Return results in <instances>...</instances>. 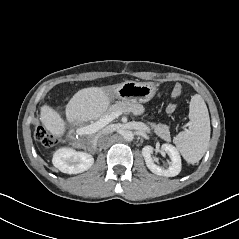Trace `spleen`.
I'll return each mask as SVG.
<instances>
[{
    "mask_svg": "<svg viewBox=\"0 0 239 239\" xmlns=\"http://www.w3.org/2000/svg\"><path fill=\"white\" fill-rule=\"evenodd\" d=\"M189 127L175 137V145L183 158L190 164L197 163L207 150L210 140V118L201 95L191 97Z\"/></svg>",
    "mask_w": 239,
    "mask_h": 239,
    "instance_id": "3e777b00",
    "label": "spleen"
}]
</instances>
